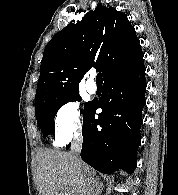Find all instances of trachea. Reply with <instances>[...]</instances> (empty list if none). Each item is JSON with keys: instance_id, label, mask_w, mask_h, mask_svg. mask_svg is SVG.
<instances>
[{"instance_id": "1", "label": "trachea", "mask_w": 178, "mask_h": 195, "mask_svg": "<svg viewBox=\"0 0 178 195\" xmlns=\"http://www.w3.org/2000/svg\"><path fill=\"white\" fill-rule=\"evenodd\" d=\"M96 82H102V74L98 73L96 76Z\"/></svg>"}]
</instances>
